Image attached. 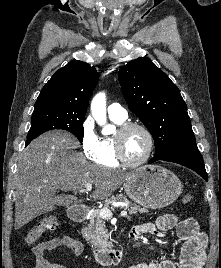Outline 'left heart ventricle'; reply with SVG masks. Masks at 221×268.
<instances>
[{"label":"left heart ventricle","mask_w":221,"mask_h":268,"mask_svg":"<svg viewBox=\"0 0 221 268\" xmlns=\"http://www.w3.org/2000/svg\"><path fill=\"white\" fill-rule=\"evenodd\" d=\"M123 151L127 159L131 161L140 160L146 153L148 140L140 129H130L123 138Z\"/></svg>","instance_id":"1"}]
</instances>
